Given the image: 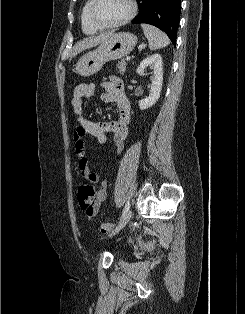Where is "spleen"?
I'll list each match as a JSON object with an SVG mask.
<instances>
[{"instance_id": "3e777b00", "label": "spleen", "mask_w": 245, "mask_h": 314, "mask_svg": "<svg viewBox=\"0 0 245 314\" xmlns=\"http://www.w3.org/2000/svg\"><path fill=\"white\" fill-rule=\"evenodd\" d=\"M141 27L143 29L145 37L149 42V48L151 50L160 49L170 44L169 38L160 29L145 23H142Z\"/></svg>"}]
</instances>
